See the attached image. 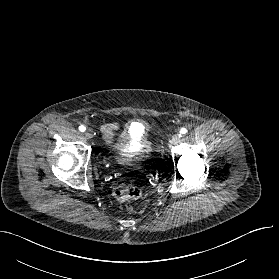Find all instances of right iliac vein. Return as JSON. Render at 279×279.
I'll list each match as a JSON object with an SVG mask.
<instances>
[{
	"label": "right iliac vein",
	"mask_w": 279,
	"mask_h": 279,
	"mask_svg": "<svg viewBox=\"0 0 279 279\" xmlns=\"http://www.w3.org/2000/svg\"><path fill=\"white\" fill-rule=\"evenodd\" d=\"M84 135L87 139H91L93 138V131L91 129H87Z\"/></svg>",
	"instance_id": "1"
}]
</instances>
